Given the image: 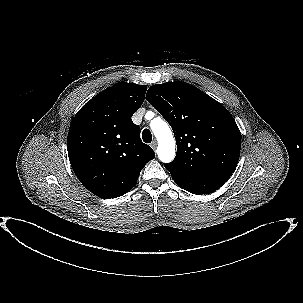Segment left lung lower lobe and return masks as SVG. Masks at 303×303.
I'll return each mask as SVG.
<instances>
[{"label": "left lung lower lobe", "instance_id": "1", "mask_svg": "<svg viewBox=\"0 0 303 303\" xmlns=\"http://www.w3.org/2000/svg\"><path fill=\"white\" fill-rule=\"evenodd\" d=\"M175 183L182 189L193 194H209L220 188L231 176L228 172H208V173H185L169 168L164 165Z\"/></svg>", "mask_w": 303, "mask_h": 303}]
</instances>
